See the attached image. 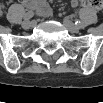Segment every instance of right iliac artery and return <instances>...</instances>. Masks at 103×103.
Wrapping results in <instances>:
<instances>
[{
    "label": "right iliac artery",
    "mask_w": 103,
    "mask_h": 103,
    "mask_svg": "<svg viewBox=\"0 0 103 103\" xmlns=\"http://www.w3.org/2000/svg\"><path fill=\"white\" fill-rule=\"evenodd\" d=\"M34 16V12L33 11H28L25 15H24V19L25 20H29Z\"/></svg>",
    "instance_id": "82829eb1"
}]
</instances>
